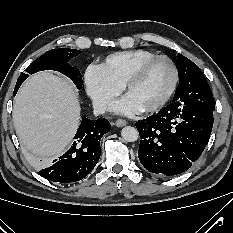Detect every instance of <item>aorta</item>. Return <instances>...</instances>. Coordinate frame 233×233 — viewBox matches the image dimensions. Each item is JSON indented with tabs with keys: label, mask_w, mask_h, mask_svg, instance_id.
Here are the masks:
<instances>
[{
	"label": "aorta",
	"mask_w": 233,
	"mask_h": 233,
	"mask_svg": "<svg viewBox=\"0 0 233 233\" xmlns=\"http://www.w3.org/2000/svg\"><path fill=\"white\" fill-rule=\"evenodd\" d=\"M121 136L127 142H134L138 139L139 133L136 128L132 126H125L121 130Z\"/></svg>",
	"instance_id": "aorta-1"
}]
</instances>
